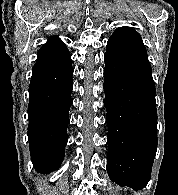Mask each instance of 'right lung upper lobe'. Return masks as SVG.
Wrapping results in <instances>:
<instances>
[{"mask_svg":"<svg viewBox=\"0 0 178 195\" xmlns=\"http://www.w3.org/2000/svg\"><path fill=\"white\" fill-rule=\"evenodd\" d=\"M70 57L66 45L57 36H53L38 51L33 69L60 65L71 60Z\"/></svg>","mask_w":178,"mask_h":195,"instance_id":"right-lung-upper-lobe-1","label":"right lung upper lobe"}]
</instances>
